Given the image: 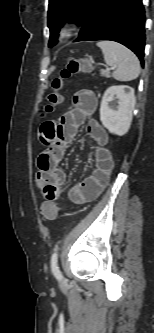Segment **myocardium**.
<instances>
[{"mask_svg": "<svg viewBox=\"0 0 154 333\" xmlns=\"http://www.w3.org/2000/svg\"><path fill=\"white\" fill-rule=\"evenodd\" d=\"M73 35V27L70 25L62 26L59 30V36L61 39H69Z\"/></svg>", "mask_w": 154, "mask_h": 333, "instance_id": "1", "label": "myocardium"}]
</instances>
